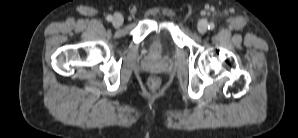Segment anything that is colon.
<instances>
[{"label": "colon", "instance_id": "5ec220e1", "mask_svg": "<svg viewBox=\"0 0 298 138\" xmlns=\"http://www.w3.org/2000/svg\"><path fill=\"white\" fill-rule=\"evenodd\" d=\"M149 85L152 87V88H156L158 85H159V79L156 78V77H152L149 79Z\"/></svg>", "mask_w": 298, "mask_h": 138}]
</instances>
